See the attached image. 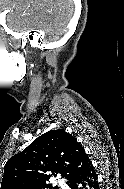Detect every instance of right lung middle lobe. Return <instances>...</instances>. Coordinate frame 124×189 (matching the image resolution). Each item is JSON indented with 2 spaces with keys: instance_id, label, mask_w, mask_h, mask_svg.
<instances>
[{
  "instance_id": "dd1d6c3e",
  "label": "right lung middle lobe",
  "mask_w": 124,
  "mask_h": 189,
  "mask_svg": "<svg viewBox=\"0 0 124 189\" xmlns=\"http://www.w3.org/2000/svg\"><path fill=\"white\" fill-rule=\"evenodd\" d=\"M38 189H58V187H52L50 184L39 187Z\"/></svg>"
}]
</instances>
